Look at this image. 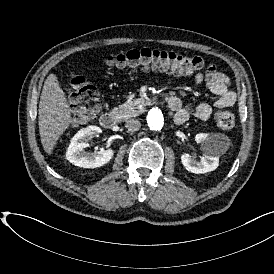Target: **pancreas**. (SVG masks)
<instances>
[{"instance_id":"1","label":"pancreas","mask_w":274,"mask_h":274,"mask_svg":"<svg viewBox=\"0 0 274 274\" xmlns=\"http://www.w3.org/2000/svg\"><path fill=\"white\" fill-rule=\"evenodd\" d=\"M111 112L120 121H126L131 117H136L142 114L144 110L139 108V105L136 104L135 100H130L122 105H119L118 107H114Z\"/></svg>"}]
</instances>
